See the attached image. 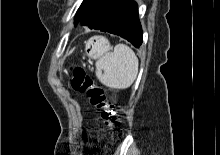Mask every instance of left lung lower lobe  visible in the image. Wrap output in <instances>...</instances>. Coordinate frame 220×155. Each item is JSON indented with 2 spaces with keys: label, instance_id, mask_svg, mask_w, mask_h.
Listing matches in <instances>:
<instances>
[{
  "label": "left lung lower lobe",
  "instance_id": "0a47b994",
  "mask_svg": "<svg viewBox=\"0 0 220 155\" xmlns=\"http://www.w3.org/2000/svg\"><path fill=\"white\" fill-rule=\"evenodd\" d=\"M79 22L90 29L118 35L136 48L143 41L138 7L133 0H97Z\"/></svg>",
  "mask_w": 220,
  "mask_h": 155
}]
</instances>
